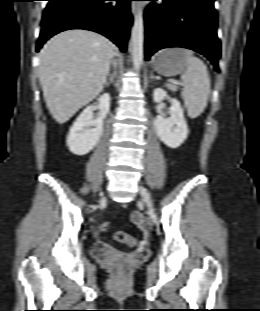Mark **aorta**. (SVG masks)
<instances>
[{
    "instance_id": "aorta-1",
    "label": "aorta",
    "mask_w": 260,
    "mask_h": 311,
    "mask_svg": "<svg viewBox=\"0 0 260 311\" xmlns=\"http://www.w3.org/2000/svg\"><path fill=\"white\" fill-rule=\"evenodd\" d=\"M143 39H144V21L141 9L138 10L134 18L130 50L132 61L136 71H139L143 64Z\"/></svg>"
}]
</instances>
